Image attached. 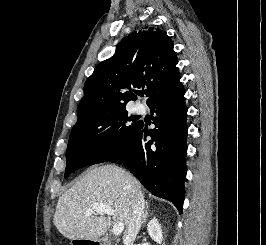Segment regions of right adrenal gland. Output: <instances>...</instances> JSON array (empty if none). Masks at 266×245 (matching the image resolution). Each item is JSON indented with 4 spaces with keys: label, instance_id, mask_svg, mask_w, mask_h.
Here are the masks:
<instances>
[{
    "label": "right adrenal gland",
    "instance_id": "1",
    "mask_svg": "<svg viewBox=\"0 0 266 245\" xmlns=\"http://www.w3.org/2000/svg\"><path fill=\"white\" fill-rule=\"evenodd\" d=\"M149 205H150V203H146V211H145V215H144L143 221H142L143 225H145V223L149 217ZM150 215H153V213H150Z\"/></svg>",
    "mask_w": 266,
    "mask_h": 245
}]
</instances>
